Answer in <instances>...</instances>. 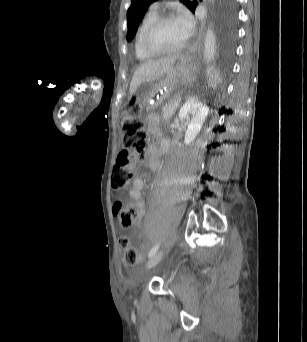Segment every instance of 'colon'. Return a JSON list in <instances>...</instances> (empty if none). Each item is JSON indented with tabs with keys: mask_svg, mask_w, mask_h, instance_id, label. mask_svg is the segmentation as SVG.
Instances as JSON below:
<instances>
[{
	"mask_svg": "<svg viewBox=\"0 0 307 342\" xmlns=\"http://www.w3.org/2000/svg\"><path fill=\"white\" fill-rule=\"evenodd\" d=\"M141 104L138 100L129 103L122 112L121 131L122 151L114 157V166L110 178L111 190L117 196L126 187L132 178V164L141 160L145 155L147 146V133L142 121L139 119ZM113 213L124 228H129L136 215V209L132 204H126L117 197L113 202ZM120 248L124 251V262L127 265L141 266L142 258L134 249L127 235L119 237Z\"/></svg>",
	"mask_w": 307,
	"mask_h": 342,
	"instance_id": "colon-1",
	"label": "colon"
}]
</instances>
